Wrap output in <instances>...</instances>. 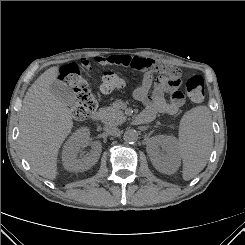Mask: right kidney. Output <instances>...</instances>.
Instances as JSON below:
<instances>
[{
  "label": "right kidney",
  "mask_w": 245,
  "mask_h": 245,
  "mask_svg": "<svg viewBox=\"0 0 245 245\" xmlns=\"http://www.w3.org/2000/svg\"><path fill=\"white\" fill-rule=\"evenodd\" d=\"M90 138V131L82 127L74 132L65 143L62 151L63 166L70 172H83L90 169L98 161L102 152V145L99 141L92 143V150L78 157L81 148L84 147Z\"/></svg>",
  "instance_id": "right-kidney-1"
}]
</instances>
